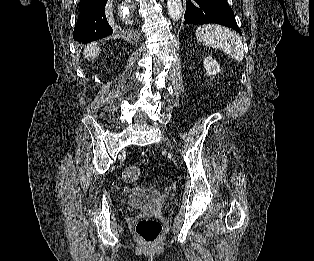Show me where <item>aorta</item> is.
Wrapping results in <instances>:
<instances>
[{"label":"aorta","instance_id":"762f6f07","mask_svg":"<svg viewBox=\"0 0 314 261\" xmlns=\"http://www.w3.org/2000/svg\"><path fill=\"white\" fill-rule=\"evenodd\" d=\"M167 9L170 18L177 21L182 16V2L181 0H167Z\"/></svg>","mask_w":314,"mask_h":261}]
</instances>
